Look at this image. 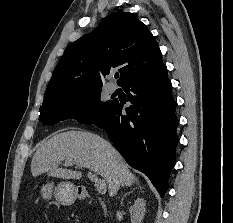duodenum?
I'll use <instances>...</instances> for the list:
<instances>
[{
  "instance_id": "1",
  "label": "duodenum",
  "mask_w": 233,
  "mask_h": 223,
  "mask_svg": "<svg viewBox=\"0 0 233 223\" xmlns=\"http://www.w3.org/2000/svg\"><path fill=\"white\" fill-rule=\"evenodd\" d=\"M79 196L81 199H89V194L86 191L80 192Z\"/></svg>"
}]
</instances>
